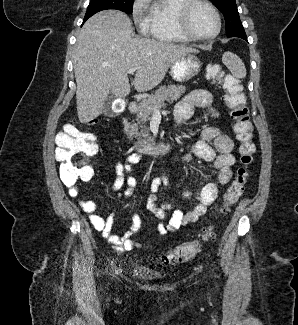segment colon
I'll return each mask as SVG.
<instances>
[{"label":"colon","instance_id":"5ec220e1","mask_svg":"<svg viewBox=\"0 0 298 325\" xmlns=\"http://www.w3.org/2000/svg\"><path fill=\"white\" fill-rule=\"evenodd\" d=\"M207 77L222 85L225 102L231 110L234 120V133L239 142L240 167L234 180L227 188L223 197L222 211L227 212L241 197L248 180V169L254 160L256 150L253 142V126L249 119V108L246 95L238 80L225 73L218 64L207 66ZM56 159L60 162L59 174L66 186H75L80 181L93 177L91 165L97 156L98 146L92 134L80 131L73 125H67L56 138ZM215 237L214 228L208 227L202 234V241ZM201 248V242L191 241L176 246L161 256L164 265H175L193 258Z\"/></svg>","mask_w":298,"mask_h":325}]
</instances>
